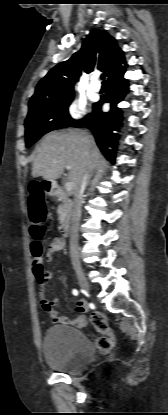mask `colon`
Returning <instances> with one entry per match:
<instances>
[{"label":"colon","mask_w":168,"mask_h":415,"mask_svg":"<svg viewBox=\"0 0 168 415\" xmlns=\"http://www.w3.org/2000/svg\"><path fill=\"white\" fill-rule=\"evenodd\" d=\"M29 218H30V235L33 238L31 243V252L34 262V273L40 282L44 281L47 276L43 270V253L44 247L40 240L44 237L46 228L43 225L45 218V207L40 190L34 186L30 189L28 199ZM94 328L102 334L96 339V346L102 351L111 350L114 346L115 339L113 331L108 327L106 316L101 312H95L91 317Z\"/></svg>","instance_id":"1"}]
</instances>
